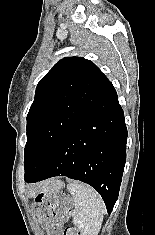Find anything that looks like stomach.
Here are the masks:
<instances>
[{
  "label": "stomach",
  "instance_id": "obj_1",
  "mask_svg": "<svg viewBox=\"0 0 155 235\" xmlns=\"http://www.w3.org/2000/svg\"><path fill=\"white\" fill-rule=\"evenodd\" d=\"M63 186L64 184L58 180H49L41 184L38 191H31L30 196L36 197L39 193L49 194L58 192Z\"/></svg>",
  "mask_w": 155,
  "mask_h": 235
}]
</instances>
